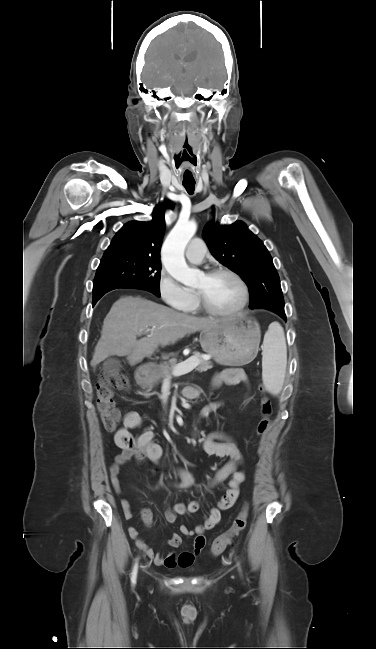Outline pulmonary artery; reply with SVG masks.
<instances>
[{
  "mask_svg": "<svg viewBox=\"0 0 376 649\" xmlns=\"http://www.w3.org/2000/svg\"><path fill=\"white\" fill-rule=\"evenodd\" d=\"M206 246L202 239L194 238L190 241L186 249V257L189 261L200 263L205 255Z\"/></svg>",
  "mask_w": 376,
  "mask_h": 649,
  "instance_id": "1",
  "label": "pulmonary artery"
}]
</instances>
